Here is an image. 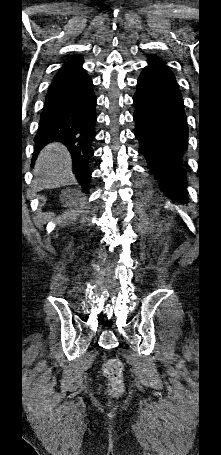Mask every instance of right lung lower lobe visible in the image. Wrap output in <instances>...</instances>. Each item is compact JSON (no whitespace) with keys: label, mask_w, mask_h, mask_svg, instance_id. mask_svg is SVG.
Masks as SVG:
<instances>
[{"label":"right lung lower lobe","mask_w":221,"mask_h":455,"mask_svg":"<svg viewBox=\"0 0 221 455\" xmlns=\"http://www.w3.org/2000/svg\"><path fill=\"white\" fill-rule=\"evenodd\" d=\"M82 57H72L55 76L41 112L33 162L50 142H61L69 150L73 172L83 191L90 188L89 160L94 151L96 96L92 80L82 68Z\"/></svg>","instance_id":"98d812e1"}]
</instances>
